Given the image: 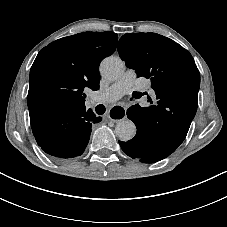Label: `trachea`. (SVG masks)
<instances>
[{
  "instance_id": "3493384b",
  "label": "trachea",
  "mask_w": 227,
  "mask_h": 227,
  "mask_svg": "<svg viewBox=\"0 0 227 227\" xmlns=\"http://www.w3.org/2000/svg\"><path fill=\"white\" fill-rule=\"evenodd\" d=\"M106 111V107L103 104H99L96 106V112L98 114H103Z\"/></svg>"
}]
</instances>
